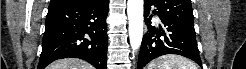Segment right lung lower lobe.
Listing matches in <instances>:
<instances>
[{
	"label": "right lung lower lobe",
	"instance_id": "obj_1",
	"mask_svg": "<svg viewBox=\"0 0 246 69\" xmlns=\"http://www.w3.org/2000/svg\"><path fill=\"white\" fill-rule=\"evenodd\" d=\"M109 1L49 6L38 69L56 59L75 57L106 69Z\"/></svg>",
	"mask_w": 246,
	"mask_h": 69
}]
</instances>
